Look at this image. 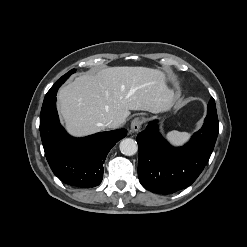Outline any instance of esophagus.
Returning <instances> with one entry per match:
<instances>
[{
	"label": "esophagus",
	"instance_id": "1",
	"mask_svg": "<svg viewBox=\"0 0 247 247\" xmlns=\"http://www.w3.org/2000/svg\"><path fill=\"white\" fill-rule=\"evenodd\" d=\"M143 119L140 117L135 118L132 122H131V131L132 132H138L142 125H143Z\"/></svg>",
	"mask_w": 247,
	"mask_h": 247
}]
</instances>
